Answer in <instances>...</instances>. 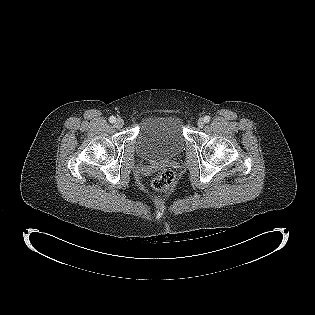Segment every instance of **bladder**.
<instances>
[{"instance_id": "1", "label": "bladder", "mask_w": 315, "mask_h": 315, "mask_svg": "<svg viewBox=\"0 0 315 315\" xmlns=\"http://www.w3.org/2000/svg\"><path fill=\"white\" fill-rule=\"evenodd\" d=\"M184 122L177 114H162L146 118L136 137L139 156L147 161H167L184 148Z\"/></svg>"}]
</instances>
